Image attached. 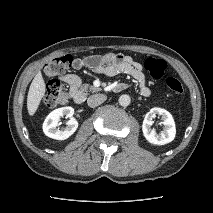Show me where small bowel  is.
Segmentation results:
<instances>
[{
  "instance_id": "obj_1",
  "label": "small bowel",
  "mask_w": 213,
  "mask_h": 213,
  "mask_svg": "<svg viewBox=\"0 0 213 213\" xmlns=\"http://www.w3.org/2000/svg\"><path fill=\"white\" fill-rule=\"evenodd\" d=\"M72 67L76 70L89 68L96 74H102L108 77H114L118 74H126L136 81L142 96L148 97L151 94V90L146 84L142 65L133 60L130 56H125L119 53L89 55L73 59ZM61 80L69 86L72 97L80 89L82 84L81 78L74 73H66L62 75Z\"/></svg>"
}]
</instances>
